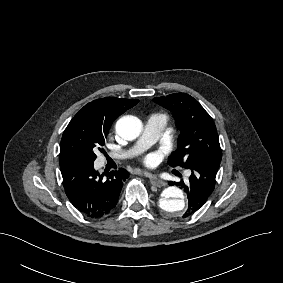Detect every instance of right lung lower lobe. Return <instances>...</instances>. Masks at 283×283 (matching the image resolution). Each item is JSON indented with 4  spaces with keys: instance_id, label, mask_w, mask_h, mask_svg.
Wrapping results in <instances>:
<instances>
[{
    "instance_id": "obj_1",
    "label": "right lung lower lobe",
    "mask_w": 283,
    "mask_h": 283,
    "mask_svg": "<svg viewBox=\"0 0 283 283\" xmlns=\"http://www.w3.org/2000/svg\"><path fill=\"white\" fill-rule=\"evenodd\" d=\"M63 186L69 201L84 216L98 219L116 206L129 173L120 168L107 178L94 169L93 162H72L61 166Z\"/></svg>"
}]
</instances>
